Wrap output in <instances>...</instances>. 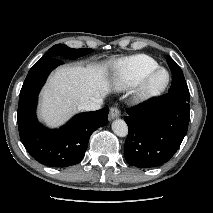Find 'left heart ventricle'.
<instances>
[{
  "instance_id": "left-heart-ventricle-1",
  "label": "left heart ventricle",
  "mask_w": 213,
  "mask_h": 213,
  "mask_svg": "<svg viewBox=\"0 0 213 213\" xmlns=\"http://www.w3.org/2000/svg\"><path fill=\"white\" fill-rule=\"evenodd\" d=\"M165 77H166L165 73H160L155 79V84L162 83L165 80Z\"/></svg>"
}]
</instances>
